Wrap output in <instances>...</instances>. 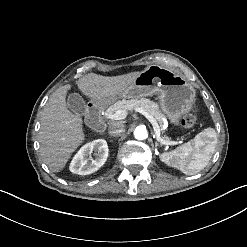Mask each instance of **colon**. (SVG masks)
Returning <instances> with one entry per match:
<instances>
[{"label":"colon","instance_id":"5ec220e1","mask_svg":"<svg viewBox=\"0 0 247 247\" xmlns=\"http://www.w3.org/2000/svg\"><path fill=\"white\" fill-rule=\"evenodd\" d=\"M194 122H195V118L192 117L191 114L184 115L181 118V124H183L184 126H189L193 124Z\"/></svg>","mask_w":247,"mask_h":247}]
</instances>
